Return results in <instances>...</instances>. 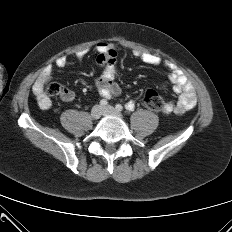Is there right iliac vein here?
<instances>
[{
	"label": "right iliac vein",
	"mask_w": 232,
	"mask_h": 232,
	"mask_svg": "<svg viewBox=\"0 0 232 232\" xmlns=\"http://www.w3.org/2000/svg\"><path fill=\"white\" fill-rule=\"evenodd\" d=\"M103 113V108L100 105H95L91 110V117L95 120L99 119Z\"/></svg>",
	"instance_id": "right-iliac-vein-1"
}]
</instances>
